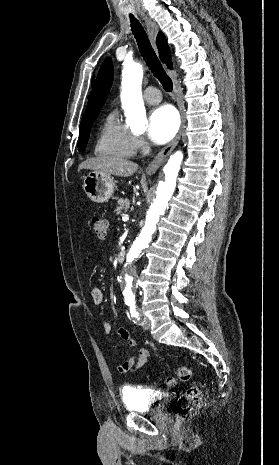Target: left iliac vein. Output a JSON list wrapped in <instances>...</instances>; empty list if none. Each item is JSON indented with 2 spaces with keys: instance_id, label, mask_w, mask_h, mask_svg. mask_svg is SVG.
<instances>
[{
  "instance_id": "obj_1",
  "label": "left iliac vein",
  "mask_w": 279,
  "mask_h": 465,
  "mask_svg": "<svg viewBox=\"0 0 279 465\" xmlns=\"http://www.w3.org/2000/svg\"><path fill=\"white\" fill-rule=\"evenodd\" d=\"M141 326L144 330H149L151 328V321L147 317H143Z\"/></svg>"
}]
</instances>
